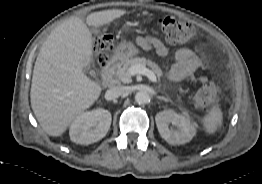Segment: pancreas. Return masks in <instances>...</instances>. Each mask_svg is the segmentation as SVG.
I'll use <instances>...</instances> for the list:
<instances>
[{
  "instance_id": "cf45deb5",
  "label": "pancreas",
  "mask_w": 262,
  "mask_h": 184,
  "mask_svg": "<svg viewBox=\"0 0 262 184\" xmlns=\"http://www.w3.org/2000/svg\"><path fill=\"white\" fill-rule=\"evenodd\" d=\"M143 65V66H149L151 68V71L157 75V77L160 79L162 77V70L160 67L155 63L152 62L149 59H146L145 57H136L128 59L124 62L122 67L116 68L113 71L114 76L117 80L123 82V83H130L131 82V75L129 74V69L132 66L135 65Z\"/></svg>"
}]
</instances>
